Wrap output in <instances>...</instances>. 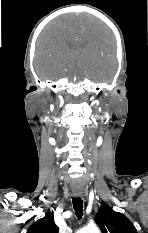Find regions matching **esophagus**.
<instances>
[{
  "instance_id": "1",
  "label": "esophagus",
  "mask_w": 148,
  "mask_h": 233,
  "mask_svg": "<svg viewBox=\"0 0 148 233\" xmlns=\"http://www.w3.org/2000/svg\"><path fill=\"white\" fill-rule=\"evenodd\" d=\"M72 194H73V196H75V197H79V196L82 195V191L74 190V191L72 192Z\"/></svg>"
}]
</instances>
